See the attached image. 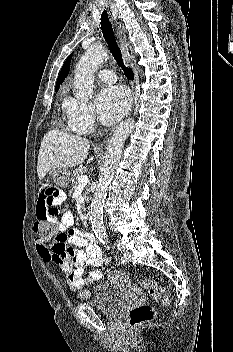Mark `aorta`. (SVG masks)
I'll use <instances>...</instances> for the list:
<instances>
[{"instance_id": "1", "label": "aorta", "mask_w": 233, "mask_h": 352, "mask_svg": "<svg viewBox=\"0 0 233 352\" xmlns=\"http://www.w3.org/2000/svg\"><path fill=\"white\" fill-rule=\"evenodd\" d=\"M107 52L102 48H89L78 61L75 69L73 92L76 99L88 101L93 96L94 73L106 60ZM134 129V120L123 121L114 131L109 141L104 166L99 174L94 198L91 202L90 219L97 238L104 240L106 232L103 225V206L108 186L114 176L115 168L122 154L124 143Z\"/></svg>"}]
</instances>
